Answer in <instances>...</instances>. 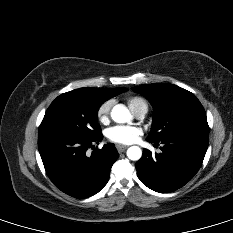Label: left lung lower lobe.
<instances>
[{
    "label": "left lung lower lobe",
    "instance_id": "0a47b994",
    "mask_svg": "<svg viewBox=\"0 0 233 233\" xmlns=\"http://www.w3.org/2000/svg\"><path fill=\"white\" fill-rule=\"evenodd\" d=\"M149 141V140H147ZM209 136L185 135L161 142V153L145 149L136 163L138 178L150 189L169 193L188 183L200 169L208 148Z\"/></svg>",
    "mask_w": 233,
    "mask_h": 233
}]
</instances>
